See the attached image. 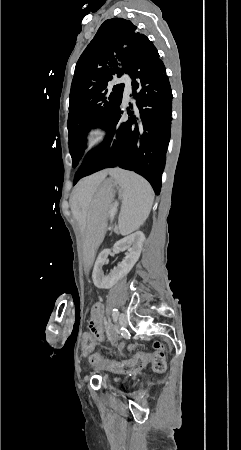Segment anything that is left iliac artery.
I'll list each match as a JSON object with an SVG mask.
<instances>
[{
    "instance_id": "obj_1",
    "label": "left iliac artery",
    "mask_w": 241,
    "mask_h": 450,
    "mask_svg": "<svg viewBox=\"0 0 241 450\" xmlns=\"http://www.w3.org/2000/svg\"><path fill=\"white\" fill-rule=\"evenodd\" d=\"M112 316H113V320H114V321H117V318H118V316H119L118 309H116V308L113 309Z\"/></svg>"
}]
</instances>
